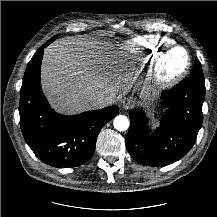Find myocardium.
<instances>
[{
    "label": "myocardium",
    "mask_w": 217,
    "mask_h": 217,
    "mask_svg": "<svg viewBox=\"0 0 217 217\" xmlns=\"http://www.w3.org/2000/svg\"><path fill=\"white\" fill-rule=\"evenodd\" d=\"M176 50H181L186 56L184 66L171 75H165L164 64L170 54ZM192 59L188 50L180 45H173L160 52L153 62L152 72L149 77L150 84L157 89H169L176 85L189 71Z\"/></svg>",
    "instance_id": "myocardium-1"
}]
</instances>
